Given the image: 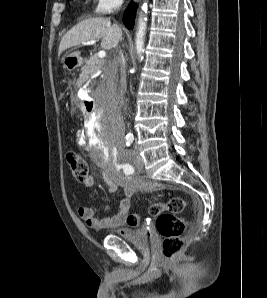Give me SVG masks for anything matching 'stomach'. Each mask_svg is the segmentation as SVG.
<instances>
[{"mask_svg": "<svg viewBox=\"0 0 267 298\" xmlns=\"http://www.w3.org/2000/svg\"><path fill=\"white\" fill-rule=\"evenodd\" d=\"M73 62L74 63L72 65V67H77V66H79L81 64V60L79 58H75ZM65 66L68 68L67 65H65Z\"/></svg>", "mask_w": 267, "mask_h": 298, "instance_id": "obj_1", "label": "stomach"}]
</instances>
